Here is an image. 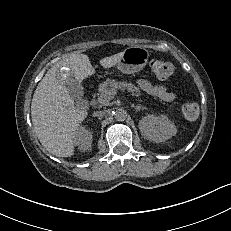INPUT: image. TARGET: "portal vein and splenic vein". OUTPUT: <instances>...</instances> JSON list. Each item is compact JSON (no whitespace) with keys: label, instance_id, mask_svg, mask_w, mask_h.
I'll list each match as a JSON object with an SVG mask.
<instances>
[{"label":"portal vein and splenic vein","instance_id":"18ae733b","mask_svg":"<svg viewBox=\"0 0 231 231\" xmlns=\"http://www.w3.org/2000/svg\"><path fill=\"white\" fill-rule=\"evenodd\" d=\"M116 94H117L116 90H113V91H111V92L109 93V96H113V95H116ZM105 100H106V98H99V99H98V102H99L100 104H102Z\"/></svg>","mask_w":231,"mask_h":231}]
</instances>
